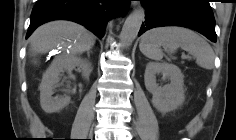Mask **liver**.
Returning <instances> with one entry per match:
<instances>
[{
    "label": "liver",
    "mask_w": 236,
    "mask_h": 140,
    "mask_svg": "<svg viewBox=\"0 0 236 140\" xmlns=\"http://www.w3.org/2000/svg\"><path fill=\"white\" fill-rule=\"evenodd\" d=\"M71 41V53L90 50L95 44V37L83 26L70 21H53L40 26L30 38V50L33 55L45 54L60 42Z\"/></svg>",
    "instance_id": "obj_1"
}]
</instances>
